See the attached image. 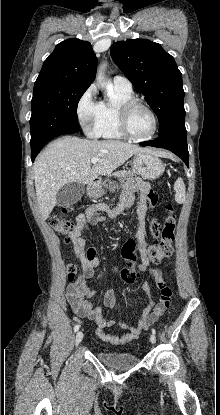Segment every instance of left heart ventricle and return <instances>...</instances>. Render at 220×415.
Returning <instances> with one entry per match:
<instances>
[{
	"label": "left heart ventricle",
	"instance_id": "left-heart-ventricle-1",
	"mask_svg": "<svg viewBox=\"0 0 220 415\" xmlns=\"http://www.w3.org/2000/svg\"><path fill=\"white\" fill-rule=\"evenodd\" d=\"M128 129L135 137H146L153 130V120L148 111L141 107L134 108L128 116Z\"/></svg>",
	"mask_w": 220,
	"mask_h": 415
}]
</instances>
